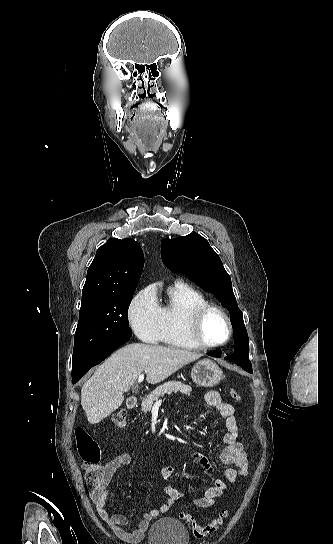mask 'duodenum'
<instances>
[{
	"mask_svg": "<svg viewBox=\"0 0 333 544\" xmlns=\"http://www.w3.org/2000/svg\"><path fill=\"white\" fill-rule=\"evenodd\" d=\"M137 404H138V400H137L136 397H130V398L127 399V407L129 409L135 408L137 406Z\"/></svg>",
	"mask_w": 333,
	"mask_h": 544,
	"instance_id": "obj_1",
	"label": "duodenum"
}]
</instances>
